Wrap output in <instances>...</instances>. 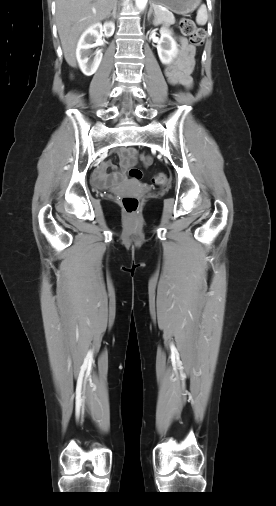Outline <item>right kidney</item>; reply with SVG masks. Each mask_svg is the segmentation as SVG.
I'll use <instances>...</instances> for the list:
<instances>
[{"label":"right kidney","instance_id":"obj_1","mask_svg":"<svg viewBox=\"0 0 276 506\" xmlns=\"http://www.w3.org/2000/svg\"><path fill=\"white\" fill-rule=\"evenodd\" d=\"M115 25L112 22H106L104 25L95 23L87 28L81 35L76 49V57L81 71L90 76L94 74L102 60V52L100 50L94 53L91 58V48L97 45V41L103 36L110 37L113 35Z\"/></svg>","mask_w":276,"mask_h":506}]
</instances>
